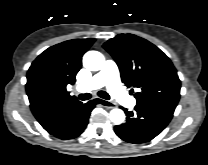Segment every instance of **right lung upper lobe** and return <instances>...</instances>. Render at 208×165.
I'll use <instances>...</instances> for the list:
<instances>
[{"instance_id": "obj_1", "label": "right lung upper lobe", "mask_w": 208, "mask_h": 165, "mask_svg": "<svg viewBox=\"0 0 208 165\" xmlns=\"http://www.w3.org/2000/svg\"><path fill=\"white\" fill-rule=\"evenodd\" d=\"M95 39H73L46 49L27 72L26 92L30 108L47 127L82 102L66 90L73 85L82 66V56Z\"/></svg>"}]
</instances>
